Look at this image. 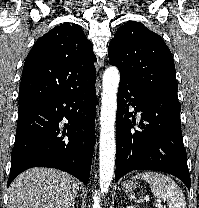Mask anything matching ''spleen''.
<instances>
[{
  "label": "spleen",
  "instance_id": "obj_1",
  "mask_svg": "<svg viewBox=\"0 0 199 208\" xmlns=\"http://www.w3.org/2000/svg\"><path fill=\"white\" fill-rule=\"evenodd\" d=\"M150 184L154 196L167 201L170 208H186V201L183 192L178 185L168 176L147 171L135 176Z\"/></svg>",
  "mask_w": 199,
  "mask_h": 208
}]
</instances>
